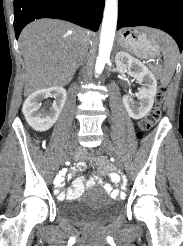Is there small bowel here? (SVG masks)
<instances>
[{
    "label": "small bowel",
    "mask_w": 183,
    "mask_h": 246,
    "mask_svg": "<svg viewBox=\"0 0 183 246\" xmlns=\"http://www.w3.org/2000/svg\"><path fill=\"white\" fill-rule=\"evenodd\" d=\"M84 168V163H78L68 174L67 169H59L57 178L60 180H52V187L55 189V194L60 200H72L78 198L84 191L85 186L91 187L94 185L103 186L109 193V198H128V193H121L125 191V187H130L131 183L128 178H119L117 174L120 173L119 169L112 172L110 169L103 167L101 171L106 173L109 178L114 182H104L100 177L94 176L85 182L84 177H78L73 182V187L62 190V185H65V180H62L61 174H67L69 179L74 178L75 172ZM118 181V182H116Z\"/></svg>",
    "instance_id": "1"
}]
</instances>
